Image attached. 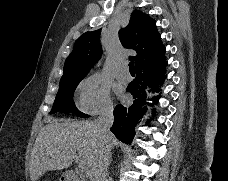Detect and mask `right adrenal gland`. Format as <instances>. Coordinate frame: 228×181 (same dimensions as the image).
<instances>
[{
    "label": "right adrenal gland",
    "instance_id": "obj_1",
    "mask_svg": "<svg viewBox=\"0 0 228 181\" xmlns=\"http://www.w3.org/2000/svg\"><path fill=\"white\" fill-rule=\"evenodd\" d=\"M110 165H111V159H109L108 169H109Z\"/></svg>",
    "mask_w": 228,
    "mask_h": 181
}]
</instances>
